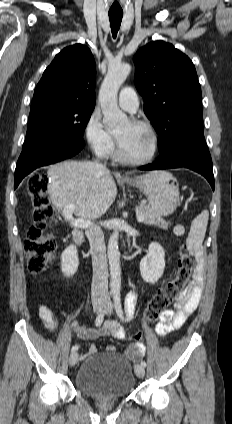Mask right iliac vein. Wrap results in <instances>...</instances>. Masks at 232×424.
Listing matches in <instances>:
<instances>
[{"mask_svg":"<svg viewBox=\"0 0 232 424\" xmlns=\"http://www.w3.org/2000/svg\"><path fill=\"white\" fill-rule=\"evenodd\" d=\"M103 305L101 303H97L94 305L93 309L95 313H100L102 311ZM79 354L77 352H72L69 358V364L71 366H75L78 362Z\"/></svg>","mask_w":232,"mask_h":424,"instance_id":"1","label":"right iliac vein"}]
</instances>
